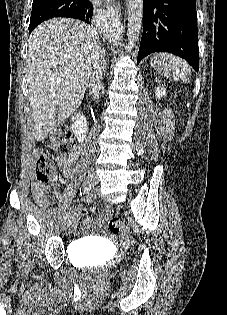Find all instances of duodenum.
Listing matches in <instances>:
<instances>
[{
  "mask_svg": "<svg viewBox=\"0 0 227 315\" xmlns=\"http://www.w3.org/2000/svg\"><path fill=\"white\" fill-rule=\"evenodd\" d=\"M73 129L78 141L83 142L85 140L86 132L88 129L87 119L84 114L82 113L75 114Z\"/></svg>",
  "mask_w": 227,
  "mask_h": 315,
  "instance_id": "duodenum-1",
  "label": "duodenum"
}]
</instances>
